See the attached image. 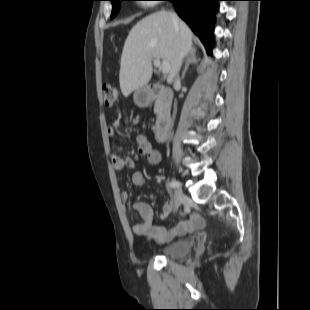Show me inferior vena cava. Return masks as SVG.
<instances>
[{
	"label": "inferior vena cava",
	"mask_w": 310,
	"mask_h": 310,
	"mask_svg": "<svg viewBox=\"0 0 310 310\" xmlns=\"http://www.w3.org/2000/svg\"><path fill=\"white\" fill-rule=\"evenodd\" d=\"M171 16H172V19H173L174 24H175V25H178L179 19H178L177 15L174 14V13H172ZM179 83H180V79H179V77H177V79H176V81H175V85H177V84H179Z\"/></svg>",
	"instance_id": "1"
}]
</instances>
